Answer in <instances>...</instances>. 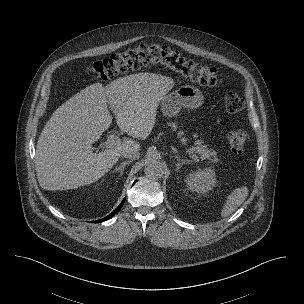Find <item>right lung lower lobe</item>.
I'll list each match as a JSON object with an SVG mask.
<instances>
[{
	"mask_svg": "<svg viewBox=\"0 0 304 304\" xmlns=\"http://www.w3.org/2000/svg\"><path fill=\"white\" fill-rule=\"evenodd\" d=\"M124 201H125V199L121 202V204L111 213V214H109L107 217H105V218H103V219H101V220H98V221H94V223H99V222H103V221H105V220H108V219H110L112 216H114L119 210H120V208L123 206V204H124Z\"/></svg>",
	"mask_w": 304,
	"mask_h": 304,
	"instance_id": "98d812e1",
	"label": "right lung lower lobe"
}]
</instances>
